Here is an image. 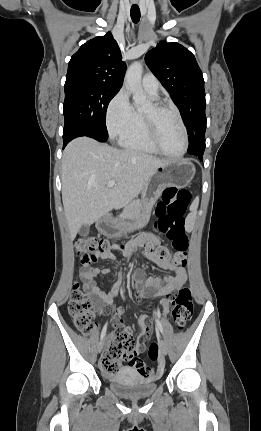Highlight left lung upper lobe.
<instances>
[{
	"instance_id": "left-lung-upper-lobe-1",
	"label": "left lung upper lobe",
	"mask_w": 261,
	"mask_h": 431,
	"mask_svg": "<svg viewBox=\"0 0 261 431\" xmlns=\"http://www.w3.org/2000/svg\"><path fill=\"white\" fill-rule=\"evenodd\" d=\"M145 61L181 113L189 134L188 153H204V79L194 55L178 43L162 41L146 53Z\"/></svg>"
}]
</instances>
